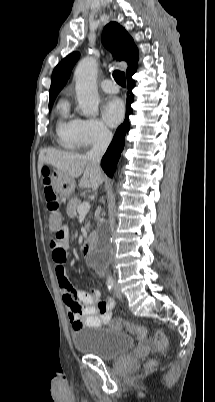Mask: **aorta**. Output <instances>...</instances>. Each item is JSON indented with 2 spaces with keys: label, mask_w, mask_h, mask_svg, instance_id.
<instances>
[{
  "label": "aorta",
  "mask_w": 215,
  "mask_h": 402,
  "mask_svg": "<svg viewBox=\"0 0 215 402\" xmlns=\"http://www.w3.org/2000/svg\"><path fill=\"white\" fill-rule=\"evenodd\" d=\"M97 69L96 60L92 57H86L78 63L74 73L78 106L81 115L86 117L98 115ZM110 256L109 242L103 228L98 237L93 259L107 262L110 260Z\"/></svg>",
  "instance_id": "obj_1"
}]
</instances>
